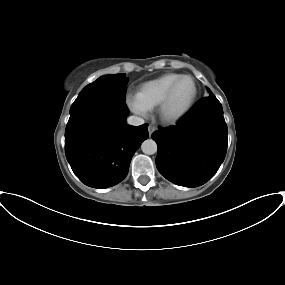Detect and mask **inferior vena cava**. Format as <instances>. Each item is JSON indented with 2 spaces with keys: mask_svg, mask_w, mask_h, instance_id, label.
<instances>
[{
  "mask_svg": "<svg viewBox=\"0 0 285 285\" xmlns=\"http://www.w3.org/2000/svg\"><path fill=\"white\" fill-rule=\"evenodd\" d=\"M127 123L129 125H133V126H139L144 124V120L141 117H137V116H130L127 119Z\"/></svg>",
  "mask_w": 285,
  "mask_h": 285,
  "instance_id": "obj_1",
  "label": "inferior vena cava"
}]
</instances>
